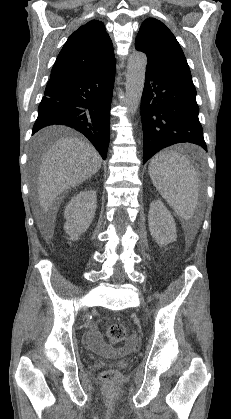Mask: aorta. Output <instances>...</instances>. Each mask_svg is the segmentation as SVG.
Instances as JSON below:
<instances>
[{
	"instance_id": "1",
	"label": "aorta",
	"mask_w": 231,
	"mask_h": 419,
	"mask_svg": "<svg viewBox=\"0 0 231 419\" xmlns=\"http://www.w3.org/2000/svg\"><path fill=\"white\" fill-rule=\"evenodd\" d=\"M147 65V56L142 52H134L128 58L126 75V105L129 114L133 116L141 101L145 73Z\"/></svg>"
}]
</instances>
